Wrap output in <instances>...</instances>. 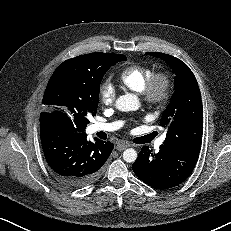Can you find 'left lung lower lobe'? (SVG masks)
Masks as SVG:
<instances>
[{
    "mask_svg": "<svg viewBox=\"0 0 231 231\" xmlns=\"http://www.w3.org/2000/svg\"><path fill=\"white\" fill-rule=\"evenodd\" d=\"M198 158V153L178 151L165 145L160 146L158 153H152L148 146H144L132 168L144 183L164 190L185 181L195 168Z\"/></svg>",
    "mask_w": 231,
    "mask_h": 231,
    "instance_id": "0a47b994",
    "label": "left lung lower lobe"
}]
</instances>
